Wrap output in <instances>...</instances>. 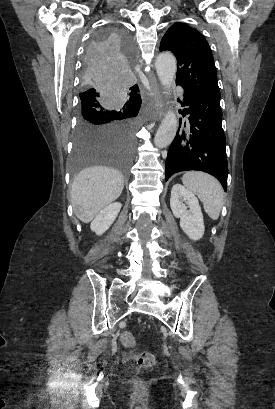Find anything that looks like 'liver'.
I'll use <instances>...</instances> for the list:
<instances>
[{"label":"liver","mask_w":275,"mask_h":409,"mask_svg":"<svg viewBox=\"0 0 275 409\" xmlns=\"http://www.w3.org/2000/svg\"><path fill=\"white\" fill-rule=\"evenodd\" d=\"M123 188V174L116 168L89 166L80 170L71 186L72 205L83 211L80 221L90 223L97 213L120 196Z\"/></svg>","instance_id":"1"}]
</instances>
